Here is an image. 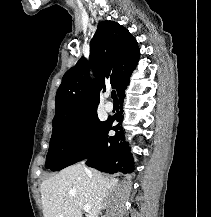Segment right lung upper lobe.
Segmentation results:
<instances>
[{
    "instance_id": "right-lung-upper-lobe-1",
    "label": "right lung upper lobe",
    "mask_w": 211,
    "mask_h": 217,
    "mask_svg": "<svg viewBox=\"0 0 211 217\" xmlns=\"http://www.w3.org/2000/svg\"><path fill=\"white\" fill-rule=\"evenodd\" d=\"M139 56L137 41L126 28L113 21L100 22L90 43L89 63L82 57L63 76L56 93L53 127L96 111L99 91L105 90V82L110 83L119 96L129 83ZM90 67L95 82H91Z\"/></svg>"
}]
</instances>
